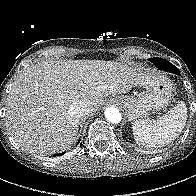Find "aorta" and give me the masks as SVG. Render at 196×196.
I'll return each instance as SVG.
<instances>
[{
	"mask_svg": "<svg viewBox=\"0 0 196 196\" xmlns=\"http://www.w3.org/2000/svg\"><path fill=\"white\" fill-rule=\"evenodd\" d=\"M105 117L111 123H119L122 119L121 113L117 108L109 107L105 110Z\"/></svg>",
	"mask_w": 196,
	"mask_h": 196,
	"instance_id": "762f6f07",
	"label": "aorta"
}]
</instances>
